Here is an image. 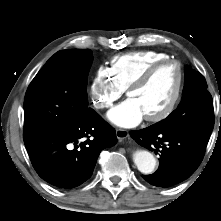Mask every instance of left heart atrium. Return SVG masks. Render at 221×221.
Instances as JSON below:
<instances>
[{
  "label": "left heart atrium",
  "instance_id": "obj_1",
  "mask_svg": "<svg viewBox=\"0 0 221 221\" xmlns=\"http://www.w3.org/2000/svg\"><path fill=\"white\" fill-rule=\"evenodd\" d=\"M109 120L117 126L130 128L138 125L144 118V113L133 98H128L108 113Z\"/></svg>",
  "mask_w": 221,
  "mask_h": 221
}]
</instances>
